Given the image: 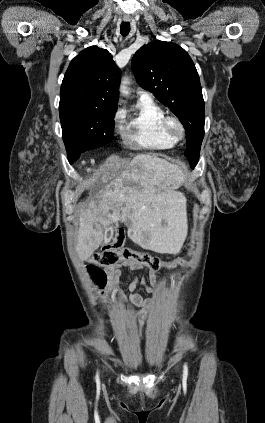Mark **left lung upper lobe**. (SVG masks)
Returning a JSON list of instances; mask_svg holds the SVG:
<instances>
[{"instance_id": "5c2ea615", "label": "left lung upper lobe", "mask_w": 265, "mask_h": 423, "mask_svg": "<svg viewBox=\"0 0 265 423\" xmlns=\"http://www.w3.org/2000/svg\"><path fill=\"white\" fill-rule=\"evenodd\" d=\"M132 70L138 84L168 106L183 124L185 156L194 168L204 136L205 105L192 59L180 46L156 40L135 53Z\"/></svg>"}]
</instances>
